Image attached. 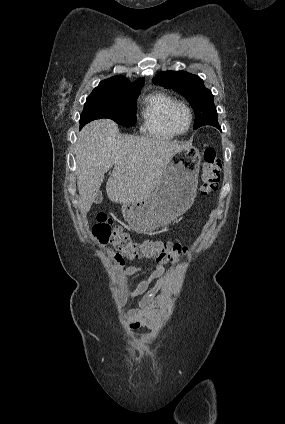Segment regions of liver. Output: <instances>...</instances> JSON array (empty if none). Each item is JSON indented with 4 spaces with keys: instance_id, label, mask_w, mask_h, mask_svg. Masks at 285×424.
I'll use <instances>...</instances> for the list:
<instances>
[{
    "instance_id": "1",
    "label": "liver",
    "mask_w": 285,
    "mask_h": 424,
    "mask_svg": "<svg viewBox=\"0 0 285 424\" xmlns=\"http://www.w3.org/2000/svg\"><path fill=\"white\" fill-rule=\"evenodd\" d=\"M185 144L155 137L121 135L108 119L88 123L78 133L75 146L80 209L86 214L105 173L114 165L106 183L108 198L127 204L148 197L157 187L171 157Z\"/></svg>"
}]
</instances>
